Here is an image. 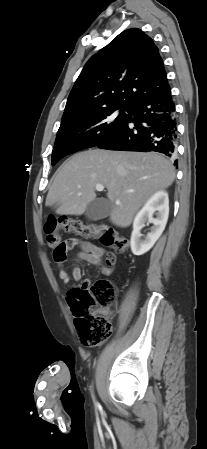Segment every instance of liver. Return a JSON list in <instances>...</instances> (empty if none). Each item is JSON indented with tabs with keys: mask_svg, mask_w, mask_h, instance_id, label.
<instances>
[{
	"mask_svg": "<svg viewBox=\"0 0 207 449\" xmlns=\"http://www.w3.org/2000/svg\"><path fill=\"white\" fill-rule=\"evenodd\" d=\"M174 179L173 165L160 154L87 150L71 156L59 169L46 205L58 204L59 215H82L96 197V184H102L112 204L110 221L124 228L150 196Z\"/></svg>",
	"mask_w": 207,
	"mask_h": 449,
	"instance_id": "obj_1",
	"label": "liver"
}]
</instances>
